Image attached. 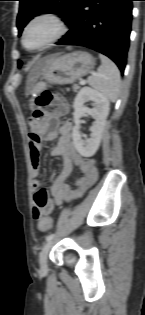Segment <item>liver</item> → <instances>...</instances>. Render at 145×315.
Instances as JSON below:
<instances>
[{
	"label": "liver",
	"instance_id": "liver-1",
	"mask_svg": "<svg viewBox=\"0 0 145 315\" xmlns=\"http://www.w3.org/2000/svg\"><path fill=\"white\" fill-rule=\"evenodd\" d=\"M46 65H47V62L45 60H40L31 70L28 76V80H27V86H26L27 92L30 91L31 87L37 81V79L39 78L41 74V71Z\"/></svg>",
	"mask_w": 145,
	"mask_h": 315
}]
</instances>
